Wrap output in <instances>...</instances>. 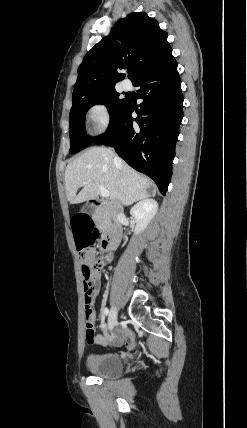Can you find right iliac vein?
<instances>
[{
	"mask_svg": "<svg viewBox=\"0 0 247 428\" xmlns=\"http://www.w3.org/2000/svg\"><path fill=\"white\" fill-rule=\"evenodd\" d=\"M117 315V309L115 307H112L108 318L109 329H113V327L117 324Z\"/></svg>",
	"mask_w": 247,
	"mask_h": 428,
	"instance_id": "obj_1",
	"label": "right iliac vein"
}]
</instances>
